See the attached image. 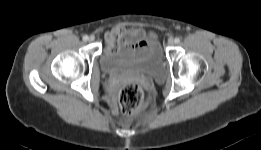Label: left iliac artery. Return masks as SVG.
<instances>
[{
  "mask_svg": "<svg viewBox=\"0 0 261 150\" xmlns=\"http://www.w3.org/2000/svg\"><path fill=\"white\" fill-rule=\"evenodd\" d=\"M174 41H175V43H179V42H180V38L176 37V38L174 39Z\"/></svg>",
  "mask_w": 261,
  "mask_h": 150,
  "instance_id": "obj_1",
  "label": "left iliac artery"
}]
</instances>
